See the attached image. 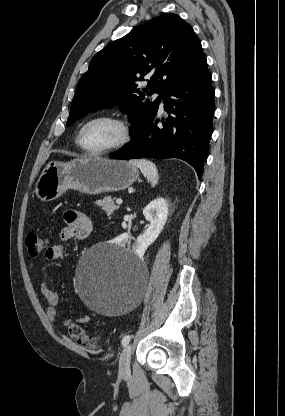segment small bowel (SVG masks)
<instances>
[{
	"instance_id": "c3829d8e",
	"label": "small bowel",
	"mask_w": 285,
	"mask_h": 416,
	"mask_svg": "<svg viewBox=\"0 0 285 416\" xmlns=\"http://www.w3.org/2000/svg\"><path fill=\"white\" fill-rule=\"evenodd\" d=\"M66 225L60 230L58 238L61 242L71 239L84 240L89 237L92 231L91 219L84 213L76 210H68L64 213ZM45 257L49 260H57L63 257L62 244L48 246L45 251ZM40 292L46 300L47 309L46 317L50 323H57L61 316L57 310L60 298L59 295L45 282L40 285ZM89 322V317L83 315L75 320H64L63 324L69 327L71 324H85Z\"/></svg>"
}]
</instances>
